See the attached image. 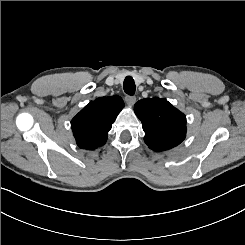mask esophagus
<instances>
[{"instance_id": "34e87169", "label": "esophagus", "mask_w": 245, "mask_h": 245, "mask_svg": "<svg viewBox=\"0 0 245 245\" xmlns=\"http://www.w3.org/2000/svg\"><path fill=\"white\" fill-rule=\"evenodd\" d=\"M125 101L128 105H134V103L136 102V98L135 96L126 95Z\"/></svg>"}]
</instances>
